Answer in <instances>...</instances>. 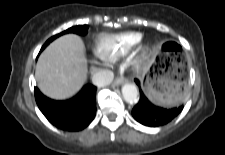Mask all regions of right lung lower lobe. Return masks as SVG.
I'll return each instance as SVG.
<instances>
[{
    "label": "right lung lower lobe",
    "instance_id": "98d812e1",
    "mask_svg": "<svg viewBox=\"0 0 225 155\" xmlns=\"http://www.w3.org/2000/svg\"><path fill=\"white\" fill-rule=\"evenodd\" d=\"M36 103L54 126L65 131H79L86 128L96 114V87L86 85L73 98L55 101L44 96L37 87L34 89Z\"/></svg>",
    "mask_w": 225,
    "mask_h": 155
}]
</instances>
